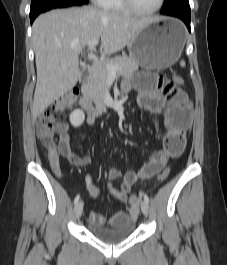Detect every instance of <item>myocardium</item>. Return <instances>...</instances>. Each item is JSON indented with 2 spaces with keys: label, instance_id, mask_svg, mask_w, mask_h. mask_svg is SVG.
<instances>
[{
  "label": "myocardium",
  "instance_id": "f54148a6",
  "mask_svg": "<svg viewBox=\"0 0 227 265\" xmlns=\"http://www.w3.org/2000/svg\"><path fill=\"white\" fill-rule=\"evenodd\" d=\"M165 0H159L158 4L149 10H140L138 8L135 7V5L133 4L132 0H122L123 5L125 6V8L134 14L137 15H150V14H154L156 12H158L164 5Z\"/></svg>",
  "mask_w": 227,
  "mask_h": 265
}]
</instances>
